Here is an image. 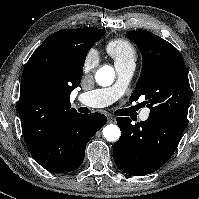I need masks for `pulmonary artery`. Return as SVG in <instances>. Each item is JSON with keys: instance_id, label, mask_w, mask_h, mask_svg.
I'll use <instances>...</instances> for the list:
<instances>
[{"instance_id": "pulmonary-artery-1", "label": "pulmonary artery", "mask_w": 199, "mask_h": 199, "mask_svg": "<svg viewBox=\"0 0 199 199\" xmlns=\"http://www.w3.org/2000/svg\"><path fill=\"white\" fill-rule=\"evenodd\" d=\"M118 73V79L115 84L108 88L97 89L88 92L81 93L78 97V101L87 107H104L112 104L118 100L130 82L134 71L135 63L129 62L122 65H116ZM149 109H144L140 113V120L145 121L149 117Z\"/></svg>"}]
</instances>
